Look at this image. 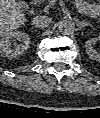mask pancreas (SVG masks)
<instances>
[{
	"label": "pancreas",
	"mask_w": 100,
	"mask_h": 118,
	"mask_svg": "<svg viewBox=\"0 0 100 118\" xmlns=\"http://www.w3.org/2000/svg\"><path fill=\"white\" fill-rule=\"evenodd\" d=\"M46 0H37L38 4L44 3Z\"/></svg>",
	"instance_id": "1"
}]
</instances>
